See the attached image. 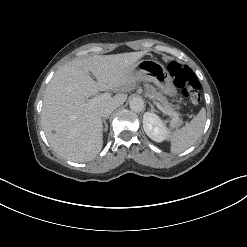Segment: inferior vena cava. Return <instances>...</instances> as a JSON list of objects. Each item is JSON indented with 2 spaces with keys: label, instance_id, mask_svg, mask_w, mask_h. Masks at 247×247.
<instances>
[{
  "label": "inferior vena cava",
  "instance_id": "602c4592",
  "mask_svg": "<svg viewBox=\"0 0 247 247\" xmlns=\"http://www.w3.org/2000/svg\"><path fill=\"white\" fill-rule=\"evenodd\" d=\"M118 106L119 104L117 102H110L103 104L100 109L101 116L104 118L108 117Z\"/></svg>",
  "mask_w": 247,
  "mask_h": 247
}]
</instances>
